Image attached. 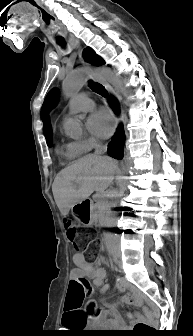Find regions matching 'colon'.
<instances>
[{
    "label": "colon",
    "instance_id": "5ec220e1",
    "mask_svg": "<svg viewBox=\"0 0 193 336\" xmlns=\"http://www.w3.org/2000/svg\"><path fill=\"white\" fill-rule=\"evenodd\" d=\"M65 230L68 240L73 243L75 248L82 253H93L96 249V243L93 240L88 239L85 235H81L77 226L71 221L66 220ZM87 291L90 290V285L87 283L84 286ZM86 295L84 290V296ZM153 328L145 323H138L135 325L132 335L133 336H148L152 332Z\"/></svg>",
    "mask_w": 193,
    "mask_h": 336
}]
</instances>
